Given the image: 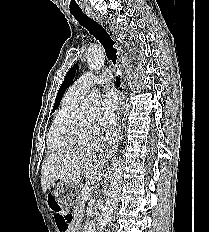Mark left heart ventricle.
I'll return each mask as SVG.
<instances>
[{
  "label": "left heart ventricle",
  "instance_id": "left-heart-ventricle-1",
  "mask_svg": "<svg viewBox=\"0 0 209 232\" xmlns=\"http://www.w3.org/2000/svg\"><path fill=\"white\" fill-rule=\"evenodd\" d=\"M84 116L91 120V121H95L96 120V116L97 114L95 112H92V111H84L83 112Z\"/></svg>",
  "mask_w": 209,
  "mask_h": 232
}]
</instances>
